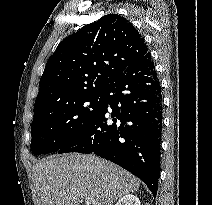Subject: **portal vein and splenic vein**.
<instances>
[{
	"label": "portal vein and splenic vein",
	"instance_id": "1",
	"mask_svg": "<svg viewBox=\"0 0 212 205\" xmlns=\"http://www.w3.org/2000/svg\"><path fill=\"white\" fill-rule=\"evenodd\" d=\"M90 198H86V202L88 203V205H89V203H90Z\"/></svg>",
	"mask_w": 212,
	"mask_h": 205
}]
</instances>
